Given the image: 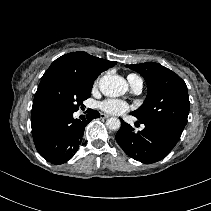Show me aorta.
Instances as JSON below:
<instances>
[{
  "label": "aorta",
  "instance_id": "aorta-1",
  "mask_svg": "<svg viewBox=\"0 0 211 211\" xmlns=\"http://www.w3.org/2000/svg\"><path fill=\"white\" fill-rule=\"evenodd\" d=\"M99 89L105 96L118 97L125 94L128 84L124 78L118 75H104L99 81ZM106 125L111 130H118L121 122L119 119L111 117L107 120Z\"/></svg>",
  "mask_w": 211,
  "mask_h": 211
}]
</instances>
